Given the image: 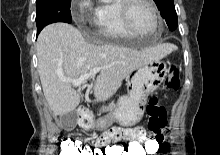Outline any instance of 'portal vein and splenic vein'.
<instances>
[{
	"instance_id": "1",
	"label": "portal vein and splenic vein",
	"mask_w": 220,
	"mask_h": 155,
	"mask_svg": "<svg viewBox=\"0 0 220 155\" xmlns=\"http://www.w3.org/2000/svg\"><path fill=\"white\" fill-rule=\"evenodd\" d=\"M101 69H102L101 67H96V68H93L88 73L80 76L77 79L62 78V81L71 82L73 84V86L77 87V86H80L82 83H84L90 77L95 76L97 73H99L101 71Z\"/></svg>"
}]
</instances>
